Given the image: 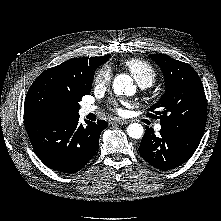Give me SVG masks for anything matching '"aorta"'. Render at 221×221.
Listing matches in <instances>:
<instances>
[{
	"mask_svg": "<svg viewBox=\"0 0 221 221\" xmlns=\"http://www.w3.org/2000/svg\"><path fill=\"white\" fill-rule=\"evenodd\" d=\"M114 92L118 95L128 94L132 89V78L126 74H120L115 77L113 82ZM129 137L139 139L144 133V128L139 123H132L127 127Z\"/></svg>",
	"mask_w": 221,
	"mask_h": 221,
	"instance_id": "obj_1",
	"label": "aorta"
}]
</instances>
